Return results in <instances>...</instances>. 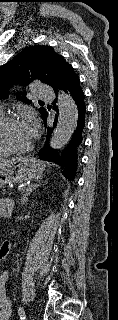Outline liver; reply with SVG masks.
Segmentation results:
<instances>
[{
    "instance_id": "6515ba94",
    "label": "liver",
    "mask_w": 118,
    "mask_h": 320,
    "mask_svg": "<svg viewBox=\"0 0 118 320\" xmlns=\"http://www.w3.org/2000/svg\"><path fill=\"white\" fill-rule=\"evenodd\" d=\"M5 161H6V160H1V161H0V164H1V163H4Z\"/></svg>"
}]
</instances>
